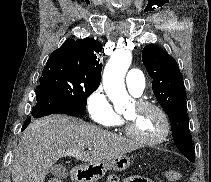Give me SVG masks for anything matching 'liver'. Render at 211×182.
Returning a JSON list of instances; mask_svg holds the SVG:
<instances>
[{
  "instance_id": "obj_1",
  "label": "liver",
  "mask_w": 211,
  "mask_h": 182,
  "mask_svg": "<svg viewBox=\"0 0 211 182\" xmlns=\"http://www.w3.org/2000/svg\"><path fill=\"white\" fill-rule=\"evenodd\" d=\"M91 148L90 151H82ZM137 149V145L78 118L54 114L34 120L21 136L12 165V182H44L61 157L100 162Z\"/></svg>"
}]
</instances>
